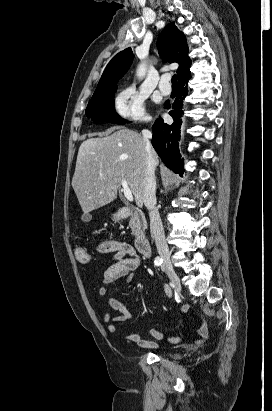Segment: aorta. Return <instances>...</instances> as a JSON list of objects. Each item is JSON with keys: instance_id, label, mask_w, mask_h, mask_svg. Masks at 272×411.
Segmentation results:
<instances>
[{"instance_id": "obj_1", "label": "aorta", "mask_w": 272, "mask_h": 411, "mask_svg": "<svg viewBox=\"0 0 272 411\" xmlns=\"http://www.w3.org/2000/svg\"><path fill=\"white\" fill-rule=\"evenodd\" d=\"M136 74L138 77H143L145 75V66L143 64L138 66Z\"/></svg>"}]
</instances>
